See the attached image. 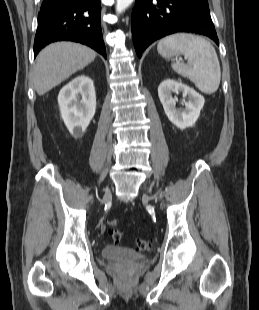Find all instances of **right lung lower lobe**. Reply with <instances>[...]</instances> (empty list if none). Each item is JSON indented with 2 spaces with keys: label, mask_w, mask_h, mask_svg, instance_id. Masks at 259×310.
Segmentation results:
<instances>
[{
  "label": "right lung lower lobe",
  "mask_w": 259,
  "mask_h": 310,
  "mask_svg": "<svg viewBox=\"0 0 259 310\" xmlns=\"http://www.w3.org/2000/svg\"><path fill=\"white\" fill-rule=\"evenodd\" d=\"M100 14V0H43L34 56L52 42L70 40L88 45L106 58Z\"/></svg>",
  "instance_id": "98d812e1"
}]
</instances>
